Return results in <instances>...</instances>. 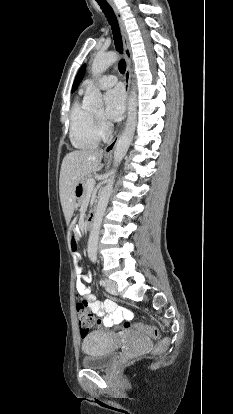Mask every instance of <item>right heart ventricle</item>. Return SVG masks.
I'll return each mask as SVG.
<instances>
[{
  "label": "right heart ventricle",
  "mask_w": 233,
  "mask_h": 414,
  "mask_svg": "<svg viewBox=\"0 0 233 414\" xmlns=\"http://www.w3.org/2000/svg\"><path fill=\"white\" fill-rule=\"evenodd\" d=\"M83 90L74 101L69 115V137L77 149H92L99 145L102 134L94 123L93 114L86 109L81 100Z\"/></svg>",
  "instance_id": "right-heart-ventricle-1"
}]
</instances>
